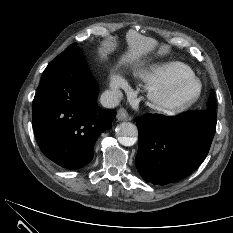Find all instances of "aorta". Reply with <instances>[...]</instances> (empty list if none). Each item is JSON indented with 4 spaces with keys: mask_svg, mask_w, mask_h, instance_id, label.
Instances as JSON below:
<instances>
[{
    "mask_svg": "<svg viewBox=\"0 0 233 233\" xmlns=\"http://www.w3.org/2000/svg\"><path fill=\"white\" fill-rule=\"evenodd\" d=\"M118 141L124 146H132L136 142L138 135L137 127L130 122H122L116 128Z\"/></svg>",
    "mask_w": 233,
    "mask_h": 233,
    "instance_id": "762f6f07",
    "label": "aorta"
}]
</instances>
